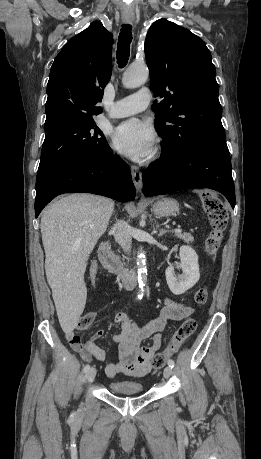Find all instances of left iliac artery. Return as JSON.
I'll list each match as a JSON object with an SVG mask.
<instances>
[{"label":"left iliac artery","mask_w":261,"mask_h":459,"mask_svg":"<svg viewBox=\"0 0 261 459\" xmlns=\"http://www.w3.org/2000/svg\"><path fill=\"white\" fill-rule=\"evenodd\" d=\"M167 364H168V366H169L170 368H173V367L175 366V363H174V361H173L172 359H169V360L167 361Z\"/></svg>","instance_id":"1"}]
</instances>
